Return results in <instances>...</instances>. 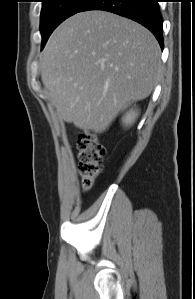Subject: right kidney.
<instances>
[{"instance_id": "right-kidney-1", "label": "right kidney", "mask_w": 195, "mask_h": 299, "mask_svg": "<svg viewBox=\"0 0 195 299\" xmlns=\"http://www.w3.org/2000/svg\"><path fill=\"white\" fill-rule=\"evenodd\" d=\"M137 116V113L133 110H130V112H128L124 118H123V122L128 125L134 122L135 118Z\"/></svg>"}]
</instances>
